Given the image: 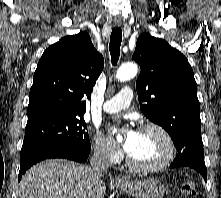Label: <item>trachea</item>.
<instances>
[{"mask_svg":"<svg viewBox=\"0 0 221 198\" xmlns=\"http://www.w3.org/2000/svg\"><path fill=\"white\" fill-rule=\"evenodd\" d=\"M122 42V30L114 28L110 37L109 50L111 54V62L116 65L120 56V46Z\"/></svg>","mask_w":221,"mask_h":198,"instance_id":"3493384b","label":"trachea"}]
</instances>
